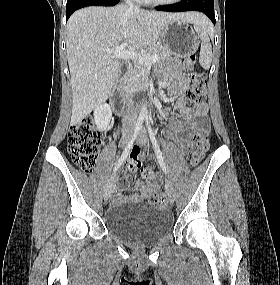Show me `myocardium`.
<instances>
[{
	"instance_id": "obj_1",
	"label": "myocardium",
	"mask_w": 280,
	"mask_h": 285,
	"mask_svg": "<svg viewBox=\"0 0 280 285\" xmlns=\"http://www.w3.org/2000/svg\"><path fill=\"white\" fill-rule=\"evenodd\" d=\"M149 2L155 4V5H161V6H166V5H173L178 3L180 0H148Z\"/></svg>"
}]
</instances>
